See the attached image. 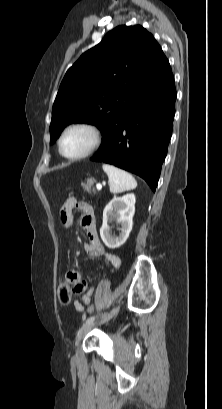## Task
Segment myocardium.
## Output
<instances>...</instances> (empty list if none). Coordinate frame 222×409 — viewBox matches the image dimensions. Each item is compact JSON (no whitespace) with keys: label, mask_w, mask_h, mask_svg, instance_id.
Returning a JSON list of instances; mask_svg holds the SVG:
<instances>
[{"label":"myocardium","mask_w":222,"mask_h":409,"mask_svg":"<svg viewBox=\"0 0 222 409\" xmlns=\"http://www.w3.org/2000/svg\"><path fill=\"white\" fill-rule=\"evenodd\" d=\"M74 129H86L92 134V143L89 148L81 154L69 156L63 152L62 143L66 134ZM103 142V132L99 126L91 122H77L68 126L60 135L58 140V150L62 157L68 160H80L92 155L102 144Z\"/></svg>","instance_id":"myocardium-1"}]
</instances>
